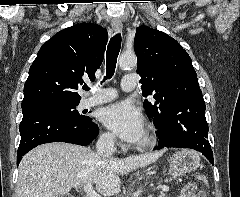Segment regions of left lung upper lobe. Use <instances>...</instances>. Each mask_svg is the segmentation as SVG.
Masks as SVG:
<instances>
[{"mask_svg": "<svg viewBox=\"0 0 240 197\" xmlns=\"http://www.w3.org/2000/svg\"><path fill=\"white\" fill-rule=\"evenodd\" d=\"M134 50L142 93L155 99L143 103L150 119L179 110L190 97L203 99L191 58L175 39L142 25L136 30Z\"/></svg>", "mask_w": 240, "mask_h": 197, "instance_id": "5c2ea615", "label": "left lung upper lobe"}]
</instances>
